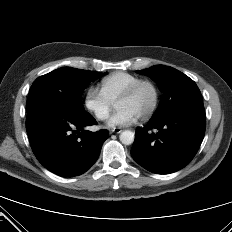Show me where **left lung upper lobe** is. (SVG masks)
Returning <instances> with one entry per match:
<instances>
[{"label":"left lung upper lobe","instance_id":"5c2ea615","mask_svg":"<svg viewBox=\"0 0 232 232\" xmlns=\"http://www.w3.org/2000/svg\"><path fill=\"white\" fill-rule=\"evenodd\" d=\"M137 73L151 77L164 93L152 118L160 117L184 102L201 97V92L196 83L175 68L155 65L137 71Z\"/></svg>","mask_w":232,"mask_h":232}]
</instances>
